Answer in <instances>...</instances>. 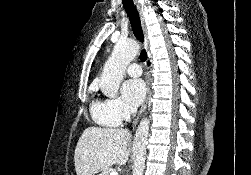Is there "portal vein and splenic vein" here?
Listing matches in <instances>:
<instances>
[{
	"mask_svg": "<svg viewBox=\"0 0 251 175\" xmlns=\"http://www.w3.org/2000/svg\"><path fill=\"white\" fill-rule=\"evenodd\" d=\"M110 175H119V173L117 171H110Z\"/></svg>",
	"mask_w": 251,
	"mask_h": 175,
	"instance_id": "portal-vein-and-splenic-vein-1",
	"label": "portal vein and splenic vein"
}]
</instances>
